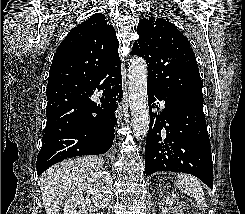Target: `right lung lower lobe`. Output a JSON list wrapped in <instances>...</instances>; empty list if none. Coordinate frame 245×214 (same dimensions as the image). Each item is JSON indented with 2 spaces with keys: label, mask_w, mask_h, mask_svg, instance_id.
Wrapping results in <instances>:
<instances>
[{
  "label": "right lung lower lobe",
  "mask_w": 245,
  "mask_h": 214,
  "mask_svg": "<svg viewBox=\"0 0 245 214\" xmlns=\"http://www.w3.org/2000/svg\"><path fill=\"white\" fill-rule=\"evenodd\" d=\"M101 103L91 101V93L80 101L64 94L47 98V123L36 168L41 175L50 166L67 158L106 153L113 144L115 111L122 101L121 73L96 83Z\"/></svg>",
  "instance_id": "right-lung-lower-lobe-1"
}]
</instances>
